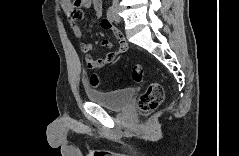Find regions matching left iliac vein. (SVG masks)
Here are the masks:
<instances>
[{
    "label": "left iliac vein",
    "instance_id": "left-iliac-vein-1",
    "mask_svg": "<svg viewBox=\"0 0 239 156\" xmlns=\"http://www.w3.org/2000/svg\"><path fill=\"white\" fill-rule=\"evenodd\" d=\"M115 20H116V22H120V17H119V15H118V11L116 10L115 11Z\"/></svg>",
    "mask_w": 239,
    "mask_h": 156
}]
</instances>
